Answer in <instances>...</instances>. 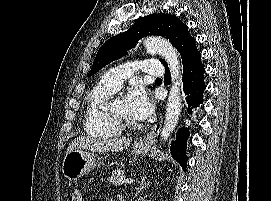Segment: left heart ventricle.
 I'll return each mask as SVG.
<instances>
[{
	"label": "left heart ventricle",
	"mask_w": 271,
	"mask_h": 201,
	"mask_svg": "<svg viewBox=\"0 0 271 201\" xmlns=\"http://www.w3.org/2000/svg\"><path fill=\"white\" fill-rule=\"evenodd\" d=\"M112 109L120 114L121 116L129 119V120H132V121H135L133 118H131V116L128 114L127 112V109H126V106H125V102L124 100L122 99H116L114 102H113V105H112Z\"/></svg>",
	"instance_id": "obj_1"
}]
</instances>
